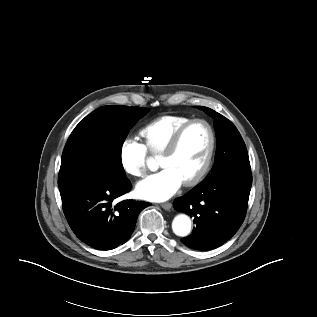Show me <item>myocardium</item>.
<instances>
[{
    "label": "myocardium",
    "instance_id": "1",
    "mask_svg": "<svg viewBox=\"0 0 317 317\" xmlns=\"http://www.w3.org/2000/svg\"><path fill=\"white\" fill-rule=\"evenodd\" d=\"M195 124H203L207 128L210 137V142L206 157L201 167L192 177L183 181L185 186H193L199 183L205 177L210 168L216 146V136L211 124L205 119H191L175 132V134L172 136L169 143L161 153V157H168L173 155L177 151L186 131Z\"/></svg>",
    "mask_w": 317,
    "mask_h": 317
}]
</instances>
